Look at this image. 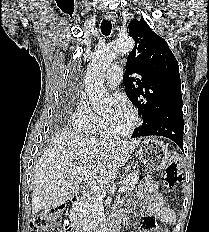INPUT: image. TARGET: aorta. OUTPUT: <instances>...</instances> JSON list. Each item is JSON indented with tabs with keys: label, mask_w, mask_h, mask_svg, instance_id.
Returning <instances> with one entry per match:
<instances>
[{
	"label": "aorta",
	"mask_w": 209,
	"mask_h": 232,
	"mask_svg": "<svg viewBox=\"0 0 209 232\" xmlns=\"http://www.w3.org/2000/svg\"><path fill=\"white\" fill-rule=\"evenodd\" d=\"M133 47L134 41L131 38H117L98 51L87 66L85 90L95 111L107 110L111 106L110 96L104 86L107 68L119 55L129 53Z\"/></svg>",
	"instance_id": "obj_1"
}]
</instances>
